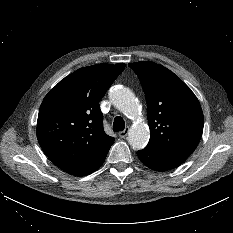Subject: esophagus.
Returning <instances> with one entry per match:
<instances>
[{"label": "esophagus", "instance_id": "esophagus-1", "mask_svg": "<svg viewBox=\"0 0 233 233\" xmlns=\"http://www.w3.org/2000/svg\"><path fill=\"white\" fill-rule=\"evenodd\" d=\"M129 127H126L123 131L119 132L120 138H125L128 135Z\"/></svg>", "mask_w": 233, "mask_h": 233}]
</instances>
